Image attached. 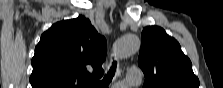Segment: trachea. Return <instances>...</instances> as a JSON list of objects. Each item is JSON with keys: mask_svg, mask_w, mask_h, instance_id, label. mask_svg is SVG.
<instances>
[{"mask_svg": "<svg viewBox=\"0 0 223 88\" xmlns=\"http://www.w3.org/2000/svg\"><path fill=\"white\" fill-rule=\"evenodd\" d=\"M116 65H117V62L113 61L112 67L108 71L107 75H105L104 79L102 81H99V82L90 83V87L91 88H107L108 85L110 84V82L112 81V78L115 74Z\"/></svg>", "mask_w": 223, "mask_h": 88, "instance_id": "1", "label": "trachea"}]
</instances>
